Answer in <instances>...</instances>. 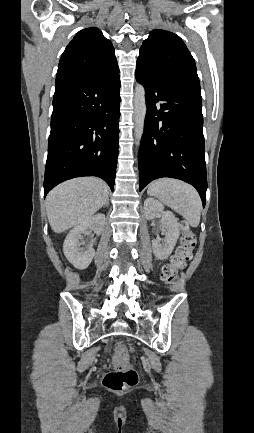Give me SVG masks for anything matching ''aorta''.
Wrapping results in <instances>:
<instances>
[{
	"instance_id": "762f6f07",
	"label": "aorta",
	"mask_w": 254,
	"mask_h": 433,
	"mask_svg": "<svg viewBox=\"0 0 254 433\" xmlns=\"http://www.w3.org/2000/svg\"><path fill=\"white\" fill-rule=\"evenodd\" d=\"M146 111L145 88L141 84H137L134 93V135L138 146L144 132Z\"/></svg>"
}]
</instances>
